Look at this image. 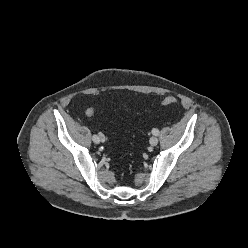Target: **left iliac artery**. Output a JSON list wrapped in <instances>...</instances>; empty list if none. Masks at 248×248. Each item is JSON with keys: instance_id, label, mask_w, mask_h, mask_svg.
<instances>
[{"instance_id": "left-iliac-artery-1", "label": "left iliac artery", "mask_w": 248, "mask_h": 248, "mask_svg": "<svg viewBox=\"0 0 248 248\" xmlns=\"http://www.w3.org/2000/svg\"><path fill=\"white\" fill-rule=\"evenodd\" d=\"M152 133L157 136V135H159V130L154 128L152 130Z\"/></svg>"}]
</instances>
